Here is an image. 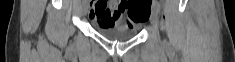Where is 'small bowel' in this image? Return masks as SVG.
<instances>
[{"label":"small bowel","instance_id":"obj_1","mask_svg":"<svg viewBox=\"0 0 235 62\" xmlns=\"http://www.w3.org/2000/svg\"><path fill=\"white\" fill-rule=\"evenodd\" d=\"M122 13L120 2L112 0L109 6L99 9L94 6L90 11V19L100 27H134L136 24L131 23L127 18L122 21Z\"/></svg>","mask_w":235,"mask_h":62}]
</instances>
